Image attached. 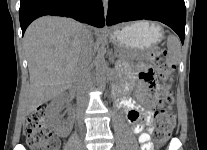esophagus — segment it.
I'll use <instances>...</instances> for the list:
<instances>
[{"mask_svg":"<svg viewBox=\"0 0 207 150\" xmlns=\"http://www.w3.org/2000/svg\"><path fill=\"white\" fill-rule=\"evenodd\" d=\"M102 1H103L104 10L106 12L107 11V7H108V0H102Z\"/></svg>","mask_w":207,"mask_h":150,"instance_id":"obj_1","label":"esophagus"}]
</instances>
